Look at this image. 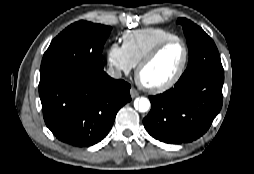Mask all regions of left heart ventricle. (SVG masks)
<instances>
[{
    "label": "left heart ventricle",
    "mask_w": 254,
    "mask_h": 174,
    "mask_svg": "<svg viewBox=\"0 0 254 174\" xmlns=\"http://www.w3.org/2000/svg\"><path fill=\"white\" fill-rule=\"evenodd\" d=\"M184 57L181 43L166 46L159 55L141 72V80L149 85H157L171 79L178 71Z\"/></svg>",
    "instance_id": "1"
}]
</instances>
